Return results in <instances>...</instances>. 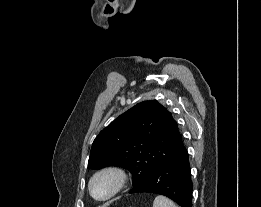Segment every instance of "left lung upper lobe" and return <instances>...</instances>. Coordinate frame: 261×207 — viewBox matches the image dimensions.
Wrapping results in <instances>:
<instances>
[{
  "instance_id": "left-lung-upper-lobe-1",
  "label": "left lung upper lobe",
  "mask_w": 261,
  "mask_h": 207,
  "mask_svg": "<svg viewBox=\"0 0 261 207\" xmlns=\"http://www.w3.org/2000/svg\"><path fill=\"white\" fill-rule=\"evenodd\" d=\"M183 147L171 112L156 100L140 102L95 138L88 168L119 166L133 176V186L150 176Z\"/></svg>"
}]
</instances>
